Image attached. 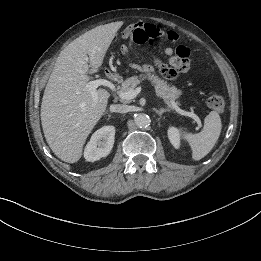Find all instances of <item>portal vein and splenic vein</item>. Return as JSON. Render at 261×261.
Wrapping results in <instances>:
<instances>
[{"label": "portal vein and splenic vein", "instance_id": "obj_1", "mask_svg": "<svg viewBox=\"0 0 261 261\" xmlns=\"http://www.w3.org/2000/svg\"><path fill=\"white\" fill-rule=\"evenodd\" d=\"M99 86H106V87H109L111 90L116 91L115 85L106 79L99 78V79L92 80L86 84V89L93 95V97L95 99L97 98L96 89ZM140 91H141V88L139 87V88L129 90L126 92L117 91V94L123 100H131V99H134L139 94ZM169 106L172 107L174 110H176L177 113L184 115V116L191 117L192 119H194L197 122L198 126L201 127V120L196 114L182 110L174 102H172Z\"/></svg>", "mask_w": 261, "mask_h": 261}]
</instances>
